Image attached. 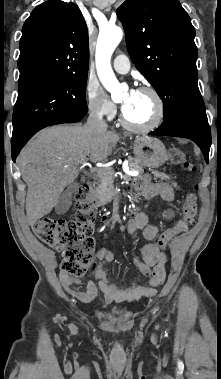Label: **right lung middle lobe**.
Here are the masks:
<instances>
[{
	"label": "right lung middle lobe",
	"instance_id": "obj_1",
	"mask_svg": "<svg viewBox=\"0 0 221 379\" xmlns=\"http://www.w3.org/2000/svg\"><path fill=\"white\" fill-rule=\"evenodd\" d=\"M85 75H65L19 85L11 143L30 139L65 118L87 113Z\"/></svg>",
	"mask_w": 221,
	"mask_h": 379
}]
</instances>
